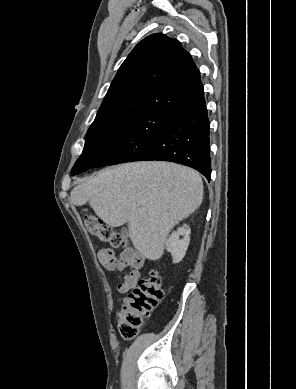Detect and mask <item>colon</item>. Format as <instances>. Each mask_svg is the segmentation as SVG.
<instances>
[{"label":"colon","instance_id":"obj_1","mask_svg":"<svg viewBox=\"0 0 296 389\" xmlns=\"http://www.w3.org/2000/svg\"><path fill=\"white\" fill-rule=\"evenodd\" d=\"M84 223L88 232L111 247L125 244L124 236L114 227L105 224L97 216L86 213ZM164 296L162 280L156 271H151L140 279L128 296L124 299L118 316V328L121 336L133 339L144 325L146 317L158 306Z\"/></svg>","mask_w":296,"mask_h":389}]
</instances>
